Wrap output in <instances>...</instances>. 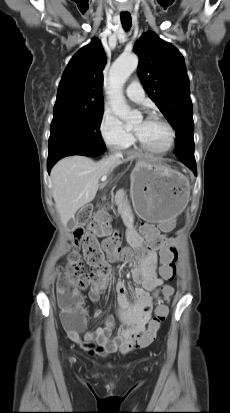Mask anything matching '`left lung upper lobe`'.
Returning a JSON list of instances; mask_svg holds the SVG:
<instances>
[{
	"instance_id": "obj_1",
	"label": "left lung upper lobe",
	"mask_w": 230,
	"mask_h": 413,
	"mask_svg": "<svg viewBox=\"0 0 230 413\" xmlns=\"http://www.w3.org/2000/svg\"><path fill=\"white\" fill-rule=\"evenodd\" d=\"M133 50L146 93L176 131V156L182 162L195 161L190 82L182 54L153 32L143 34Z\"/></svg>"
}]
</instances>
